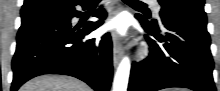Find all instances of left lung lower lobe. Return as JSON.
Wrapping results in <instances>:
<instances>
[{"mask_svg":"<svg viewBox=\"0 0 220 91\" xmlns=\"http://www.w3.org/2000/svg\"><path fill=\"white\" fill-rule=\"evenodd\" d=\"M136 18L156 40L146 37L151 52L147 59L133 63L128 91L169 87L216 91L207 22L166 15L162 20L165 31L161 33L157 24L138 14Z\"/></svg>","mask_w":220,"mask_h":91,"instance_id":"obj_1","label":"left lung lower lobe"}]
</instances>
